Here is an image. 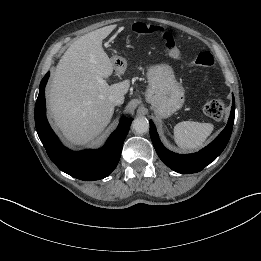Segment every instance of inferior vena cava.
I'll use <instances>...</instances> for the list:
<instances>
[{"label":"inferior vena cava","instance_id":"obj_1","mask_svg":"<svg viewBox=\"0 0 261 261\" xmlns=\"http://www.w3.org/2000/svg\"><path fill=\"white\" fill-rule=\"evenodd\" d=\"M109 100L114 105H120V104H123V102H124V96L120 95V94H112L109 96Z\"/></svg>","mask_w":261,"mask_h":261}]
</instances>
